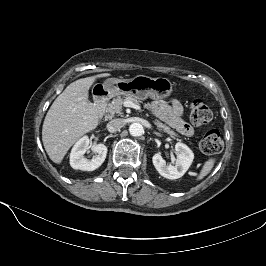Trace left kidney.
<instances>
[{"instance_id":"1","label":"left kidney","mask_w":266,"mask_h":266,"mask_svg":"<svg viewBox=\"0 0 266 266\" xmlns=\"http://www.w3.org/2000/svg\"><path fill=\"white\" fill-rule=\"evenodd\" d=\"M175 153L177 155L175 165H166V162L160 153L154 154L152 158L153 165L158 173L171 180L182 177L189 169L194 159V154L191 149L180 142L175 145Z\"/></svg>"}]
</instances>
